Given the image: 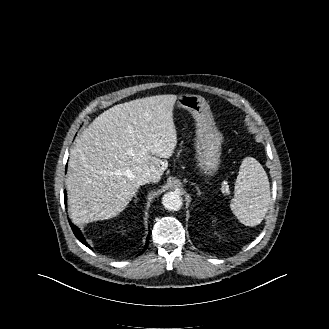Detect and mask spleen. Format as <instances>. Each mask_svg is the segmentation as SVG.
<instances>
[{
    "mask_svg": "<svg viewBox=\"0 0 329 329\" xmlns=\"http://www.w3.org/2000/svg\"><path fill=\"white\" fill-rule=\"evenodd\" d=\"M230 208L245 226H256L265 217L271 203L270 184L262 165L253 157L243 159Z\"/></svg>",
    "mask_w": 329,
    "mask_h": 329,
    "instance_id": "obj_1",
    "label": "spleen"
}]
</instances>
